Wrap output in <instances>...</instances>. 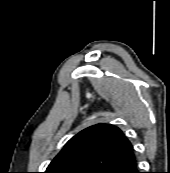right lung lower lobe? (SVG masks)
Wrapping results in <instances>:
<instances>
[{
  "label": "right lung lower lobe",
  "mask_w": 170,
  "mask_h": 173,
  "mask_svg": "<svg viewBox=\"0 0 170 173\" xmlns=\"http://www.w3.org/2000/svg\"><path fill=\"white\" fill-rule=\"evenodd\" d=\"M103 173H140L135 156L108 168Z\"/></svg>",
  "instance_id": "obj_1"
}]
</instances>
